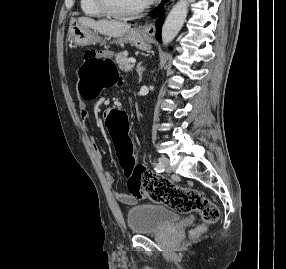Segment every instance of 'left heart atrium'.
I'll use <instances>...</instances> for the list:
<instances>
[{"label":"left heart atrium","mask_w":286,"mask_h":269,"mask_svg":"<svg viewBox=\"0 0 286 269\" xmlns=\"http://www.w3.org/2000/svg\"><path fill=\"white\" fill-rule=\"evenodd\" d=\"M145 1V4H150L152 3L154 0H144Z\"/></svg>","instance_id":"1"}]
</instances>
